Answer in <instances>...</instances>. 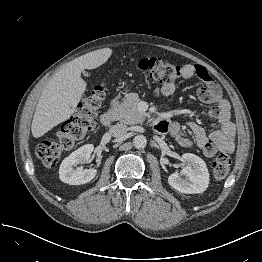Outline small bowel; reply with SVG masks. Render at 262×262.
Here are the masks:
<instances>
[{
  "instance_id": "1",
  "label": "small bowel",
  "mask_w": 262,
  "mask_h": 262,
  "mask_svg": "<svg viewBox=\"0 0 262 262\" xmlns=\"http://www.w3.org/2000/svg\"><path fill=\"white\" fill-rule=\"evenodd\" d=\"M182 77L185 79L197 76L203 82L198 96L214 107L209 117L216 120L220 127L207 132L195 122H189L192 138L182 134L181 124L170 120L167 114L158 117L155 128L160 133L169 134L170 137L185 147H198L207 157H213L218 152H232L234 149V125L230 119V104L222 95L219 85L210 76L207 69L201 65L185 64L181 67ZM175 84L168 83L161 87L163 96H169L175 91Z\"/></svg>"
}]
</instances>
